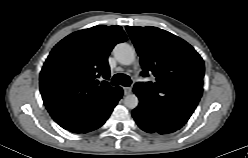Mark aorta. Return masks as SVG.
I'll list each match as a JSON object with an SVG mask.
<instances>
[{
	"label": "aorta",
	"mask_w": 248,
	"mask_h": 158,
	"mask_svg": "<svg viewBox=\"0 0 248 158\" xmlns=\"http://www.w3.org/2000/svg\"><path fill=\"white\" fill-rule=\"evenodd\" d=\"M116 60L123 65H131L135 61V50L127 43H119L113 49ZM139 104L135 94H129L124 98V105L129 109H135Z\"/></svg>",
	"instance_id": "762f6f07"
}]
</instances>
